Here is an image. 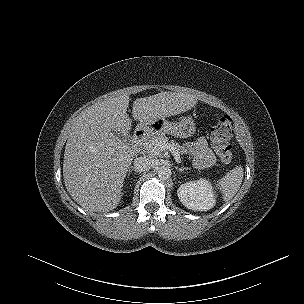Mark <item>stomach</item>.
I'll list each match as a JSON object with an SVG mask.
<instances>
[{"label": "stomach", "mask_w": 304, "mask_h": 304, "mask_svg": "<svg viewBox=\"0 0 304 304\" xmlns=\"http://www.w3.org/2000/svg\"><path fill=\"white\" fill-rule=\"evenodd\" d=\"M138 127L147 133H168L179 138L191 137L196 131L194 121L189 117H183L177 123L159 119L153 123H140Z\"/></svg>", "instance_id": "0dacf381"}]
</instances>
